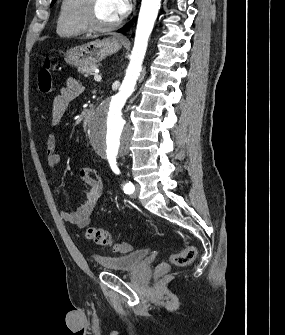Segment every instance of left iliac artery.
<instances>
[{
    "label": "left iliac artery",
    "mask_w": 285,
    "mask_h": 335,
    "mask_svg": "<svg viewBox=\"0 0 285 335\" xmlns=\"http://www.w3.org/2000/svg\"><path fill=\"white\" fill-rule=\"evenodd\" d=\"M111 169L113 170L114 173L119 174L120 170L116 165V160L115 159H111L109 160ZM123 190L126 194H132L135 190L134 185L129 181L127 182L124 186H123Z\"/></svg>",
    "instance_id": "left-iliac-artery-1"
}]
</instances>
